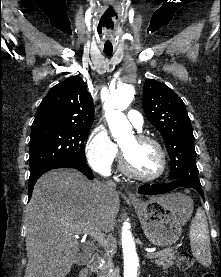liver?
I'll return each mask as SVG.
<instances>
[{
	"label": "liver",
	"instance_id": "liver-1",
	"mask_svg": "<svg viewBox=\"0 0 221 277\" xmlns=\"http://www.w3.org/2000/svg\"><path fill=\"white\" fill-rule=\"evenodd\" d=\"M177 205L182 196H163ZM116 190L103 182H90L74 169H56L42 175L26 208L24 277H65L76 263L80 245L76 235L87 226L109 232L119 212Z\"/></svg>",
	"mask_w": 221,
	"mask_h": 277
}]
</instances>
